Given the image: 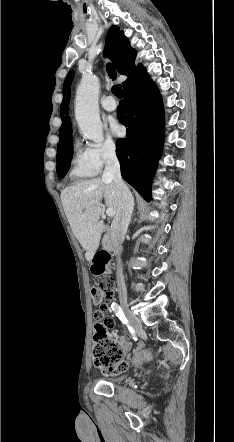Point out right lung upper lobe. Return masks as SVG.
<instances>
[{"instance_id": "obj_1", "label": "right lung upper lobe", "mask_w": 234, "mask_h": 442, "mask_svg": "<svg viewBox=\"0 0 234 442\" xmlns=\"http://www.w3.org/2000/svg\"><path fill=\"white\" fill-rule=\"evenodd\" d=\"M105 54L111 58L120 74L126 75L127 79L122 83L124 86L131 78L145 71L142 64H135L136 50L130 46L128 39L124 36L117 26H112L106 37ZM73 77V72H70L64 82L63 86V101L61 104V119L62 125L59 132L58 147L64 145L70 138H72L71 121L68 117L69 100H70V85Z\"/></svg>"}]
</instances>
